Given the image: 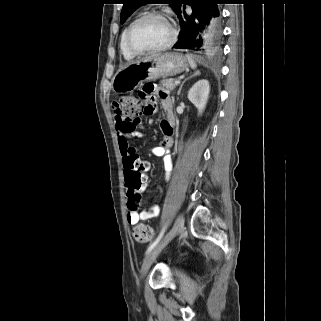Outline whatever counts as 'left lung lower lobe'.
<instances>
[{"label":"left lung lower lobe","instance_id":"1","mask_svg":"<svg viewBox=\"0 0 321 321\" xmlns=\"http://www.w3.org/2000/svg\"><path fill=\"white\" fill-rule=\"evenodd\" d=\"M222 0H189L192 14L181 9L177 15L181 31L176 49H190L201 54L216 53L222 39V17L218 4Z\"/></svg>","mask_w":321,"mask_h":321}]
</instances>
